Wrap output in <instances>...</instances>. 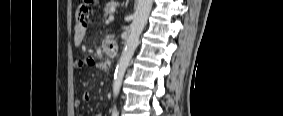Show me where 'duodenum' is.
I'll list each match as a JSON object with an SVG mask.
<instances>
[{
    "label": "duodenum",
    "instance_id": "obj_1",
    "mask_svg": "<svg viewBox=\"0 0 283 116\" xmlns=\"http://www.w3.org/2000/svg\"><path fill=\"white\" fill-rule=\"evenodd\" d=\"M104 45H105V49H106V52H107L108 56L110 58L115 57V55L117 53V46H116V44L113 41H111V40H107L104 43Z\"/></svg>",
    "mask_w": 283,
    "mask_h": 116
}]
</instances>
